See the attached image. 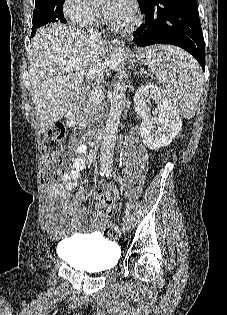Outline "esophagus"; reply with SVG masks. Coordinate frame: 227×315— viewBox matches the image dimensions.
Listing matches in <instances>:
<instances>
[{"label":"esophagus","instance_id":"34e87169","mask_svg":"<svg viewBox=\"0 0 227 315\" xmlns=\"http://www.w3.org/2000/svg\"><path fill=\"white\" fill-rule=\"evenodd\" d=\"M115 43H119L117 40H114Z\"/></svg>","mask_w":227,"mask_h":315}]
</instances>
